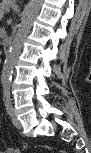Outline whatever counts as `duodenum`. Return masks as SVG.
I'll return each instance as SVG.
<instances>
[{
	"label": "duodenum",
	"instance_id": "1",
	"mask_svg": "<svg viewBox=\"0 0 91 153\" xmlns=\"http://www.w3.org/2000/svg\"><path fill=\"white\" fill-rule=\"evenodd\" d=\"M11 46H12V40H11V38L5 37L3 39V50H4V54L7 55L9 53V50H10Z\"/></svg>",
	"mask_w": 91,
	"mask_h": 153
}]
</instances>
